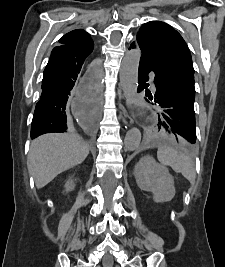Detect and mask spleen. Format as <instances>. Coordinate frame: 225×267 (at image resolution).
Wrapping results in <instances>:
<instances>
[{
	"mask_svg": "<svg viewBox=\"0 0 225 267\" xmlns=\"http://www.w3.org/2000/svg\"><path fill=\"white\" fill-rule=\"evenodd\" d=\"M157 158L161 165L170 166L176 173H181L189 182L195 181L194 163L189 156L171 147L160 146L157 151Z\"/></svg>",
	"mask_w": 225,
	"mask_h": 267,
	"instance_id": "3e777b00",
	"label": "spleen"
}]
</instances>
